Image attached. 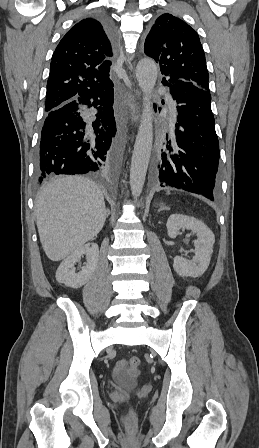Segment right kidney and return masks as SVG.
<instances>
[{"label": "right kidney", "instance_id": "right-kidney-1", "mask_svg": "<svg viewBox=\"0 0 259 448\" xmlns=\"http://www.w3.org/2000/svg\"><path fill=\"white\" fill-rule=\"evenodd\" d=\"M81 256H86V264L85 266H82L81 272L75 274L72 268L76 262H80ZM98 258L99 248L97 244H93V242L92 244H85V246L77 248V250H74V252L60 264L56 272L57 282L65 284L68 288H81V286L87 284L91 276H93Z\"/></svg>", "mask_w": 259, "mask_h": 448}]
</instances>
